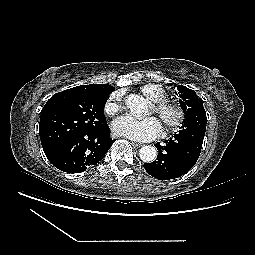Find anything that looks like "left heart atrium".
<instances>
[{
	"mask_svg": "<svg viewBox=\"0 0 255 255\" xmlns=\"http://www.w3.org/2000/svg\"><path fill=\"white\" fill-rule=\"evenodd\" d=\"M112 130L116 135L137 141H149L161 134L160 122L154 117L137 120L131 116H121L113 121Z\"/></svg>",
	"mask_w": 255,
	"mask_h": 255,
	"instance_id": "1",
	"label": "left heart atrium"
}]
</instances>
